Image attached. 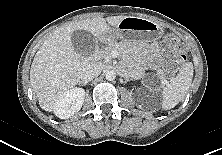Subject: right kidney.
I'll return each instance as SVG.
<instances>
[{
    "label": "right kidney",
    "mask_w": 222,
    "mask_h": 155,
    "mask_svg": "<svg viewBox=\"0 0 222 155\" xmlns=\"http://www.w3.org/2000/svg\"><path fill=\"white\" fill-rule=\"evenodd\" d=\"M85 90L73 88L63 94L54 106V113L61 119H67L77 113L84 102Z\"/></svg>",
    "instance_id": "obj_1"
}]
</instances>
